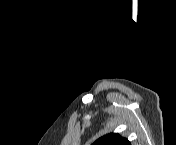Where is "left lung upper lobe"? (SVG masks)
Wrapping results in <instances>:
<instances>
[{"mask_svg":"<svg viewBox=\"0 0 176 145\" xmlns=\"http://www.w3.org/2000/svg\"><path fill=\"white\" fill-rule=\"evenodd\" d=\"M93 145H130V142L117 133H110L99 138Z\"/></svg>","mask_w":176,"mask_h":145,"instance_id":"obj_1","label":"left lung upper lobe"}]
</instances>
